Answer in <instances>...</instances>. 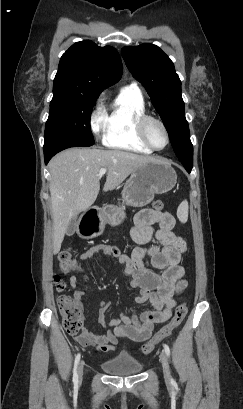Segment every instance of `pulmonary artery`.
<instances>
[{
	"label": "pulmonary artery",
	"mask_w": 243,
	"mask_h": 409,
	"mask_svg": "<svg viewBox=\"0 0 243 409\" xmlns=\"http://www.w3.org/2000/svg\"><path fill=\"white\" fill-rule=\"evenodd\" d=\"M129 86H130V87H134V88H137V89H138V85H137L136 83H131Z\"/></svg>",
	"instance_id": "obj_1"
}]
</instances>
